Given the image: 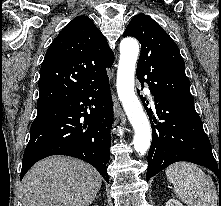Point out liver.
Instances as JSON below:
<instances>
[{
    "instance_id": "6515ba94",
    "label": "liver",
    "mask_w": 221,
    "mask_h": 206,
    "mask_svg": "<svg viewBox=\"0 0 221 206\" xmlns=\"http://www.w3.org/2000/svg\"><path fill=\"white\" fill-rule=\"evenodd\" d=\"M101 185V175L88 163L64 156L48 157L24 176L23 206H89Z\"/></svg>"
}]
</instances>
